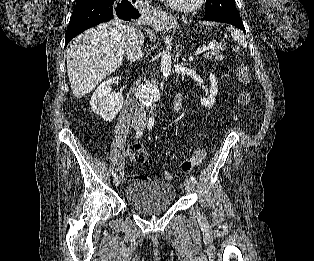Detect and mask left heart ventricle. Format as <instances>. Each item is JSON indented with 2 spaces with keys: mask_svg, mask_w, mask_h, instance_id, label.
<instances>
[{
  "mask_svg": "<svg viewBox=\"0 0 314 261\" xmlns=\"http://www.w3.org/2000/svg\"><path fill=\"white\" fill-rule=\"evenodd\" d=\"M174 1L185 4V3H189L192 0H174Z\"/></svg>",
  "mask_w": 314,
  "mask_h": 261,
  "instance_id": "b2bd125f",
  "label": "left heart ventricle"
}]
</instances>
